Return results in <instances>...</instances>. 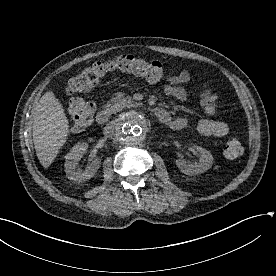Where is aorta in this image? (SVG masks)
<instances>
[{"label": "aorta", "mask_w": 276, "mask_h": 276, "mask_svg": "<svg viewBox=\"0 0 276 276\" xmlns=\"http://www.w3.org/2000/svg\"><path fill=\"white\" fill-rule=\"evenodd\" d=\"M146 122L144 117L136 111H130L122 116L117 126V137L126 145L137 144L145 136Z\"/></svg>", "instance_id": "obj_1"}]
</instances>
